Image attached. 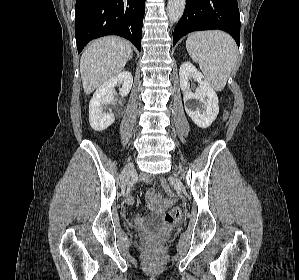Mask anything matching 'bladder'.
Listing matches in <instances>:
<instances>
[{"instance_id":"31cf9c89","label":"bladder","mask_w":299,"mask_h":280,"mask_svg":"<svg viewBox=\"0 0 299 280\" xmlns=\"http://www.w3.org/2000/svg\"><path fill=\"white\" fill-rule=\"evenodd\" d=\"M146 224L157 227L161 225V221L155 217H152L146 220Z\"/></svg>"}]
</instances>
